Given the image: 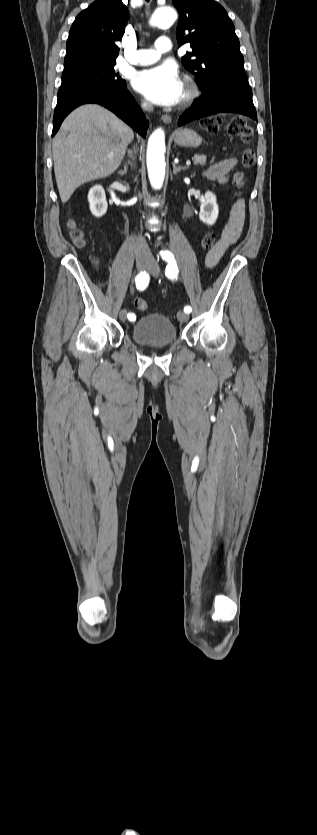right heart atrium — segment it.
I'll list each match as a JSON object with an SVG mask.
<instances>
[{
    "mask_svg": "<svg viewBox=\"0 0 317 835\" xmlns=\"http://www.w3.org/2000/svg\"><path fill=\"white\" fill-rule=\"evenodd\" d=\"M141 106H142L144 109H148V108L150 107L149 103H148V102H146V101H142V102H141Z\"/></svg>",
    "mask_w": 317,
    "mask_h": 835,
    "instance_id": "d8ad5b80",
    "label": "right heart atrium"
}]
</instances>
